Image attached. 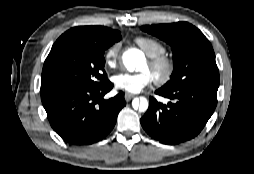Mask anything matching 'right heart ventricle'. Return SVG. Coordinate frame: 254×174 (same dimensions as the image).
<instances>
[{
  "mask_svg": "<svg viewBox=\"0 0 254 174\" xmlns=\"http://www.w3.org/2000/svg\"><path fill=\"white\" fill-rule=\"evenodd\" d=\"M134 42L145 52L148 57L164 54L166 48L164 44L156 38L150 36H138Z\"/></svg>",
  "mask_w": 254,
  "mask_h": 174,
  "instance_id": "1",
  "label": "right heart ventricle"
}]
</instances>
